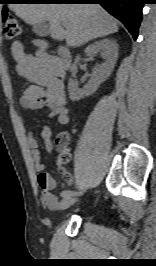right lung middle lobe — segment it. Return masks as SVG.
<instances>
[{"label":"right lung middle lobe","mask_w":156,"mask_h":266,"mask_svg":"<svg viewBox=\"0 0 156 266\" xmlns=\"http://www.w3.org/2000/svg\"><path fill=\"white\" fill-rule=\"evenodd\" d=\"M22 2H25V1H27V0H21Z\"/></svg>","instance_id":"obj_1"}]
</instances>
